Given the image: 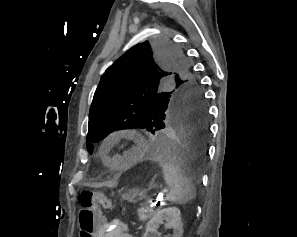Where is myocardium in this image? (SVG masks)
Listing matches in <instances>:
<instances>
[{"mask_svg":"<svg viewBox=\"0 0 297 237\" xmlns=\"http://www.w3.org/2000/svg\"><path fill=\"white\" fill-rule=\"evenodd\" d=\"M129 146H130V141L128 139L116 140L115 145L112 148V152H115L117 154H122L128 149Z\"/></svg>","mask_w":297,"mask_h":237,"instance_id":"1","label":"myocardium"}]
</instances>
